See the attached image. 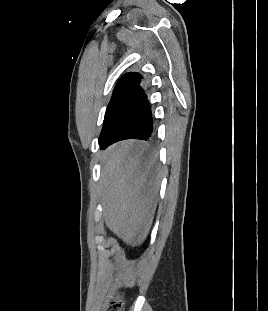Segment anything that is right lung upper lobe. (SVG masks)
<instances>
[{"label":"right lung upper lobe","instance_id":"1","mask_svg":"<svg viewBox=\"0 0 268 311\" xmlns=\"http://www.w3.org/2000/svg\"><path fill=\"white\" fill-rule=\"evenodd\" d=\"M141 78L139 73H127L120 78L114 91L125 87H136L141 82Z\"/></svg>","mask_w":268,"mask_h":311}]
</instances>
